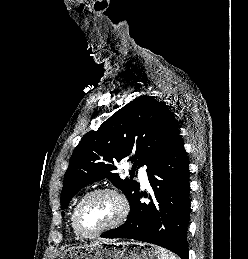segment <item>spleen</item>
<instances>
[{
    "mask_svg": "<svg viewBox=\"0 0 248 259\" xmlns=\"http://www.w3.org/2000/svg\"><path fill=\"white\" fill-rule=\"evenodd\" d=\"M160 259H179V258L176 257L172 252H169L168 250L160 248Z\"/></svg>",
    "mask_w": 248,
    "mask_h": 259,
    "instance_id": "3e777b00",
    "label": "spleen"
}]
</instances>
